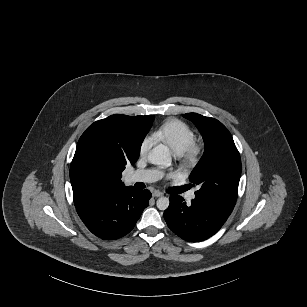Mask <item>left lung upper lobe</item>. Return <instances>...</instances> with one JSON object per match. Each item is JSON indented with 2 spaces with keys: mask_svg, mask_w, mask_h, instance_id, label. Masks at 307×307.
I'll use <instances>...</instances> for the list:
<instances>
[{
  "mask_svg": "<svg viewBox=\"0 0 307 307\" xmlns=\"http://www.w3.org/2000/svg\"><path fill=\"white\" fill-rule=\"evenodd\" d=\"M199 129L205 151L189 176L190 182L199 185L195 200L218 211L231 214L241 176V159L233 138L218 120L197 113H187Z\"/></svg>",
  "mask_w": 307,
  "mask_h": 307,
  "instance_id": "5c2ea615",
  "label": "left lung upper lobe"
}]
</instances>
